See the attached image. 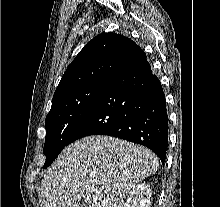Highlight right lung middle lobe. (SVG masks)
Returning <instances> with one entry per match:
<instances>
[{"instance_id": "right-lung-middle-lobe-1", "label": "right lung middle lobe", "mask_w": 220, "mask_h": 207, "mask_svg": "<svg viewBox=\"0 0 220 207\" xmlns=\"http://www.w3.org/2000/svg\"><path fill=\"white\" fill-rule=\"evenodd\" d=\"M108 79L98 80L68 92L52 100V107L45 120L46 137L43 152L47 168L62 149L69 144L75 129L96 103Z\"/></svg>"}]
</instances>
